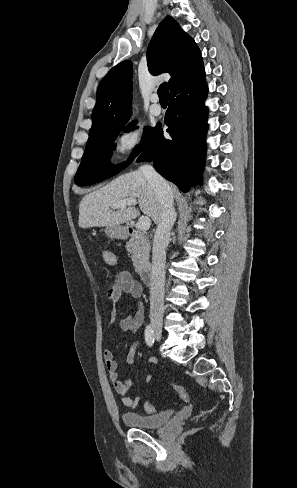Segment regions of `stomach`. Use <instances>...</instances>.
I'll list each match as a JSON object with an SVG mask.
<instances>
[{
    "label": "stomach",
    "instance_id": "stomach-1",
    "mask_svg": "<svg viewBox=\"0 0 297 488\" xmlns=\"http://www.w3.org/2000/svg\"><path fill=\"white\" fill-rule=\"evenodd\" d=\"M105 233L109 238L113 239H126L127 230L123 226H107Z\"/></svg>",
    "mask_w": 297,
    "mask_h": 488
}]
</instances>
